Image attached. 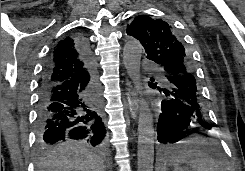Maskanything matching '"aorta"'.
<instances>
[{"label":"aorta","instance_id":"aorta-1","mask_svg":"<svg viewBox=\"0 0 245 171\" xmlns=\"http://www.w3.org/2000/svg\"><path fill=\"white\" fill-rule=\"evenodd\" d=\"M142 45L137 40L128 41L123 49V63L128 75L139 85ZM138 120L137 171H153L154 128L153 117L146 102H141Z\"/></svg>","mask_w":245,"mask_h":171}]
</instances>
